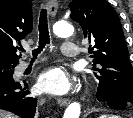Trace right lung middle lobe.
I'll return each instance as SVG.
<instances>
[{
    "mask_svg": "<svg viewBox=\"0 0 133 118\" xmlns=\"http://www.w3.org/2000/svg\"><path fill=\"white\" fill-rule=\"evenodd\" d=\"M14 65H0V83L14 82L13 68Z\"/></svg>",
    "mask_w": 133,
    "mask_h": 118,
    "instance_id": "dd1d6c3e",
    "label": "right lung middle lobe"
}]
</instances>
